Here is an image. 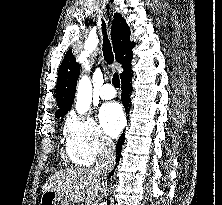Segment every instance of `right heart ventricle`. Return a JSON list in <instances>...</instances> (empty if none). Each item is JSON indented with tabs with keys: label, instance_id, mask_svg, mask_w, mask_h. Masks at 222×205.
<instances>
[{
	"label": "right heart ventricle",
	"instance_id": "1",
	"mask_svg": "<svg viewBox=\"0 0 222 205\" xmlns=\"http://www.w3.org/2000/svg\"><path fill=\"white\" fill-rule=\"evenodd\" d=\"M67 157H68V159H69L71 162L77 163V162L75 161V159L68 153V151H67Z\"/></svg>",
	"mask_w": 222,
	"mask_h": 205
}]
</instances>
